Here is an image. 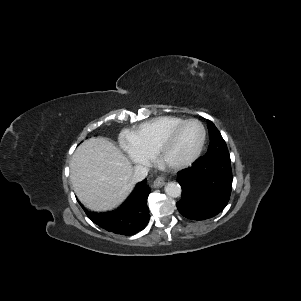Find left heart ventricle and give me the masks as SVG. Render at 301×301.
Instances as JSON below:
<instances>
[{
	"label": "left heart ventricle",
	"instance_id": "left-heart-ventricle-1",
	"mask_svg": "<svg viewBox=\"0 0 301 301\" xmlns=\"http://www.w3.org/2000/svg\"><path fill=\"white\" fill-rule=\"evenodd\" d=\"M202 131L197 123L186 124L169 144L166 159L170 162H179L190 157L201 140Z\"/></svg>",
	"mask_w": 301,
	"mask_h": 301
}]
</instances>
